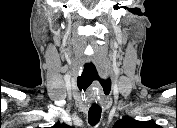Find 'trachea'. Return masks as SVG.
I'll return each mask as SVG.
<instances>
[{
  "label": "trachea",
  "mask_w": 177,
  "mask_h": 128,
  "mask_svg": "<svg viewBox=\"0 0 177 128\" xmlns=\"http://www.w3.org/2000/svg\"><path fill=\"white\" fill-rule=\"evenodd\" d=\"M101 118V107L100 106H91L88 112V122L91 126L98 124Z\"/></svg>",
  "instance_id": "trachea-1"
}]
</instances>
